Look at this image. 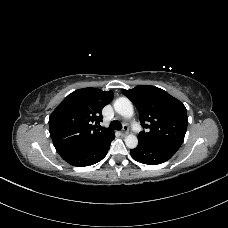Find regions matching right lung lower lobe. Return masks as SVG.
I'll return each mask as SVG.
<instances>
[{
  "label": "right lung lower lobe",
  "mask_w": 228,
  "mask_h": 228,
  "mask_svg": "<svg viewBox=\"0 0 228 228\" xmlns=\"http://www.w3.org/2000/svg\"><path fill=\"white\" fill-rule=\"evenodd\" d=\"M115 138L112 133L105 139L85 148L69 150L60 156L69 164L77 167L93 165L101 161L107 154L111 141Z\"/></svg>",
  "instance_id": "obj_1"
}]
</instances>
